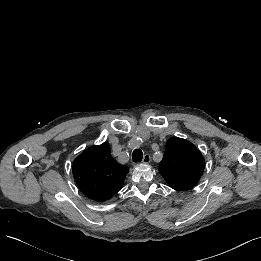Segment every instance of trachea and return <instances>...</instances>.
Wrapping results in <instances>:
<instances>
[{
  "label": "trachea",
  "mask_w": 261,
  "mask_h": 261,
  "mask_svg": "<svg viewBox=\"0 0 261 261\" xmlns=\"http://www.w3.org/2000/svg\"><path fill=\"white\" fill-rule=\"evenodd\" d=\"M143 159V152L140 149H135L132 153V160L135 163L141 162Z\"/></svg>",
  "instance_id": "1"
}]
</instances>
